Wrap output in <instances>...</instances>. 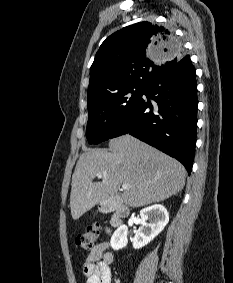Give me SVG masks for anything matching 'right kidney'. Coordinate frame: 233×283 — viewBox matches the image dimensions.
Wrapping results in <instances>:
<instances>
[{"instance_id": "right-kidney-1", "label": "right kidney", "mask_w": 233, "mask_h": 283, "mask_svg": "<svg viewBox=\"0 0 233 283\" xmlns=\"http://www.w3.org/2000/svg\"><path fill=\"white\" fill-rule=\"evenodd\" d=\"M148 221V222H147ZM169 214L163 205L155 204L140 211V227L132 240L133 248L140 249L150 243L167 225ZM128 227L120 226L111 237V247L119 250L128 243Z\"/></svg>"}]
</instances>
